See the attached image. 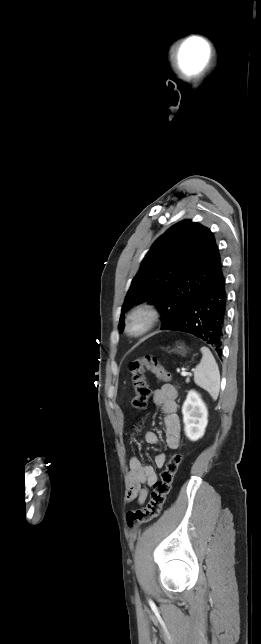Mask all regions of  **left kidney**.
Segmentation results:
<instances>
[{"label": "left kidney", "instance_id": "5707ae66", "mask_svg": "<svg viewBox=\"0 0 261 644\" xmlns=\"http://www.w3.org/2000/svg\"><path fill=\"white\" fill-rule=\"evenodd\" d=\"M184 431L191 441L200 439L208 423V410L200 395L191 390L182 406Z\"/></svg>", "mask_w": 261, "mask_h": 644}]
</instances>
